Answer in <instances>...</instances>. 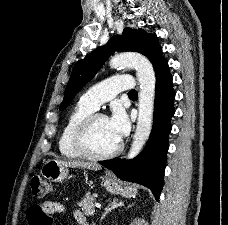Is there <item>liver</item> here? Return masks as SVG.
Here are the masks:
<instances>
[{"mask_svg":"<svg viewBox=\"0 0 228 225\" xmlns=\"http://www.w3.org/2000/svg\"><path fill=\"white\" fill-rule=\"evenodd\" d=\"M60 163H64V165H68V167H81V169H95V167H100V165H96V163H79V161H60Z\"/></svg>","mask_w":228,"mask_h":225,"instance_id":"liver-1","label":"liver"}]
</instances>
